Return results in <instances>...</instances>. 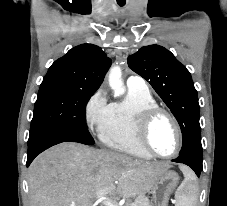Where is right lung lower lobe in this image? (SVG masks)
Returning <instances> with one entry per match:
<instances>
[{"instance_id": "98d812e1", "label": "right lung lower lobe", "mask_w": 227, "mask_h": 206, "mask_svg": "<svg viewBox=\"0 0 227 206\" xmlns=\"http://www.w3.org/2000/svg\"><path fill=\"white\" fill-rule=\"evenodd\" d=\"M62 142H78L86 144L78 137L67 132L63 131L42 132L33 138H29L28 140V155L26 163L27 167L30 165V163L38 154L48 149L49 147Z\"/></svg>"}]
</instances>
